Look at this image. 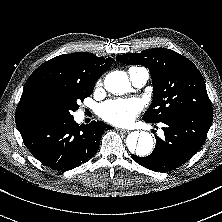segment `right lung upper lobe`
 I'll return each mask as SVG.
<instances>
[{
  "instance_id": "right-lung-upper-lobe-1",
  "label": "right lung upper lobe",
  "mask_w": 222,
  "mask_h": 222,
  "mask_svg": "<svg viewBox=\"0 0 222 222\" xmlns=\"http://www.w3.org/2000/svg\"><path fill=\"white\" fill-rule=\"evenodd\" d=\"M113 59L97 57L88 52L57 56L40 65L28 78L16 109V116L35 112L38 96L53 86H94Z\"/></svg>"
}]
</instances>
